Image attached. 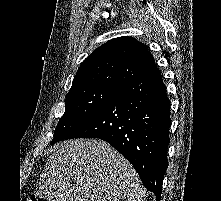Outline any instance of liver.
<instances>
[{
  "instance_id": "obj_1",
  "label": "liver",
  "mask_w": 221,
  "mask_h": 201,
  "mask_svg": "<svg viewBox=\"0 0 221 201\" xmlns=\"http://www.w3.org/2000/svg\"><path fill=\"white\" fill-rule=\"evenodd\" d=\"M39 197L47 201H144L131 164L103 140L60 143L45 165Z\"/></svg>"
}]
</instances>
